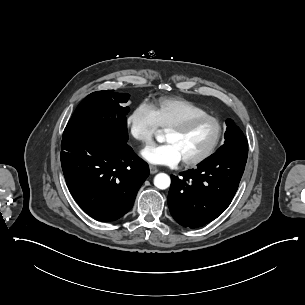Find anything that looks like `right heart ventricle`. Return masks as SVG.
I'll list each match as a JSON object with an SVG mask.
<instances>
[{
	"label": "right heart ventricle",
	"mask_w": 305,
	"mask_h": 305,
	"mask_svg": "<svg viewBox=\"0 0 305 305\" xmlns=\"http://www.w3.org/2000/svg\"><path fill=\"white\" fill-rule=\"evenodd\" d=\"M158 125L168 128L184 119L205 115L207 112L189 100L179 97H159L150 103Z\"/></svg>",
	"instance_id": "e07e8e85"
}]
</instances>
